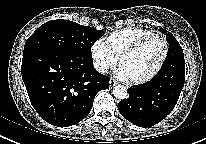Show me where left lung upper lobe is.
I'll use <instances>...</instances> for the list:
<instances>
[{
  "mask_svg": "<svg viewBox=\"0 0 206 144\" xmlns=\"http://www.w3.org/2000/svg\"><path fill=\"white\" fill-rule=\"evenodd\" d=\"M160 31L166 34L167 42L169 43V50L164 64L158 73L167 69L169 66H185L183 50L176 38L165 29L161 28Z\"/></svg>",
  "mask_w": 206,
  "mask_h": 144,
  "instance_id": "left-lung-upper-lobe-1",
  "label": "left lung upper lobe"
}]
</instances>
